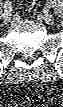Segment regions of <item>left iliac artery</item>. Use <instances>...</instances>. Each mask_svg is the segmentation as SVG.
<instances>
[{"label":"left iliac artery","instance_id":"1","mask_svg":"<svg viewBox=\"0 0 63 107\" xmlns=\"http://www.w3.org/2000/svg\"><path fill=\"white\" fill-rule=\"evenodd\" d=\"M47 5H48V7H51L53 5V2L52 1H48Z\"/></svg>","mask_w":63,"mask_h":107}]
</instances>
